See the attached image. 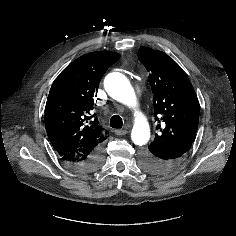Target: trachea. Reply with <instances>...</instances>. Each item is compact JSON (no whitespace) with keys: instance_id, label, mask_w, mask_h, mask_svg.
I'll list each match as a JSON object with an SVG mask.
<instances>
[{"instance_id":"1","label":"trachea","mask_w":236,"mask_h":236,"mask_svg":"<svg viewBox=\"0 0 236 236\" xmlns=\"http://www.w3.org/2000/svg\"><path fill=\"white\" fill-rule=\"evenodd\" d=\"M110 126L115 129H121L123 126L122 118L119 115H114L110 119Z\"/></svg>"}]
</instances>
